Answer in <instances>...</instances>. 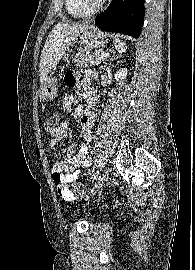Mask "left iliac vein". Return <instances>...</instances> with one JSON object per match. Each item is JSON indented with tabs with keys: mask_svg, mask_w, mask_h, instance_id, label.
I'll return each instance as SVG.
<instances>
[{
	"mask_svg": "<svg viewBox=\"0 0 195 270\" xmlns=\"http://www.w3.org/2000/svg\"><path fill=\"white\" fill-rule=\"evenodd\" d=\"M111 172V169L109 167H106L103 169L102 173L100 174L97 183L94 185L93 189L91 190V194L96 193L101 187L102 185L107 181L109 173ZM90 196H86V200L89 199Z\"/></svg>",
	"mask_w": 195,
	"mask_h": 270,
	"instance_id": "4c4485c4",
	"label": "left iliac vein"
}]
</instances>
